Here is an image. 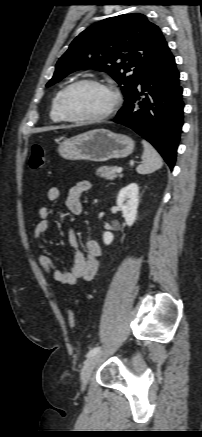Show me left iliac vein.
Wrapping results in <instances>:
<instances>
[{"label":"left iliac vein","mask_w":202,"mask_h":437,"mask_svg":"<svg viewBox=\"0 0 202 437\" xmlns=\"http://www.w3.org/2000/svg\"><path fill=\"white\" fill-rule=\"evenodd\" d=\"M99 358H100V353H97L91 356L90 358H88L87 361L84 363L81 370V381L83 386H85L88 383L90 376L99 361Z\"/></svg>","instance_id":"obj_1"}]
</instances>
